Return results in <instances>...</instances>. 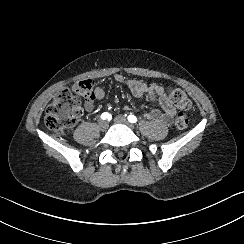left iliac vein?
<instances>
[{
    "instance_id": "left-iliac-vein-1",
    "label": "left iliac vein",
    "mask_w": 244,
    "mask_h": 244,
    "mask_svg": "<svg viewBox=\"0 0 244 244\" xmlns=\"http://www.w3.org/2000/svg\"><path fill=\"white\" fill-rule=\"evenodd\" d=\"M114 121L116 123H118V124L127 125L130 129H133L134 128V125L131 124V123H129L127 121V119L125 117H123V116H120V115L119 116H116L115 119H114Z\"/></svg>"
}]
</instances>
